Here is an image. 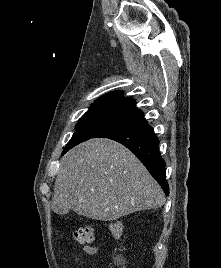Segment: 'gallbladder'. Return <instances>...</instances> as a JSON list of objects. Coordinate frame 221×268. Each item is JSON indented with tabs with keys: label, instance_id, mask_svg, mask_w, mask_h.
<instances>
[{
	"label": "gallbladder",
	"instance_id": "gallbladder-1",
	"mask_svg": "<svg viewBox=\"0 0 221 268\" xmlns=\"http://www.w3.org/2000/svg\"><path fill=\"white\" fill-rule=\"evenodd\" d=\"M67 199H58L57 202H54L52 205V210H55V213H60V216H65V213H68Z\"/></svg>",
	"mask_w": 221,
	"mask_h": 268
}]
</instances>
